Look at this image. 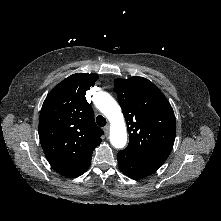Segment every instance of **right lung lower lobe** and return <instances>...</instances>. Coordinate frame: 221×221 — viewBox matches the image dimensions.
Segmentation results:
<instances>
[{
	"mask_svg": "<svg viewBox=\"0 0 221 221\" xmlns=\"http://www.w3.org/2000/svg\"><path fill=\"white\" fill-rule=\"evenodd\" d=\"M88 168H89V167H88ZM88 168H87V169H88ZM87 169H86V170H87ZM86 170H85V171H86ZM85 171L81 172L78 176H80L81 174H83ZM78 176H77V177H78Z\"/></svg>",
	"mask_w": 221,
	"mask_h": 221,
	"instance_id": "98d812e1",
	"label": "right lung lower lobe"
}]
</instances>
